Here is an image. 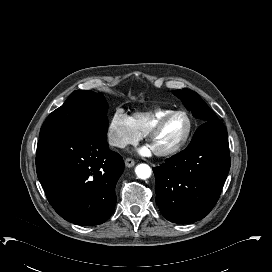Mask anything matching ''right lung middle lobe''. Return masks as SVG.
Returning a JSON list of instances; mask_svg holds the SVG:
<instances>
[{"label": "right lung middle lobe", "mask_w": 272, "mask_h": 272, "mask_svg": "<svg viewBox=\"0 0 272 272\" xmlns=\"http://www.w3.org/2000/svg\"><path fill=\"white\" fill-rule=\"evenodd\" d=\"M107 109L108 104L102 93L76 90L48 116L41 127L40 137L74 127H95L107 133Z\"/></svg>", "instance_id": "1"}]
</instances>
